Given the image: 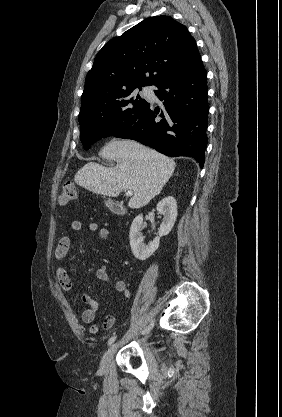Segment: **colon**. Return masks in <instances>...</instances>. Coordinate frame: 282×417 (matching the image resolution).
<instances>
[{"label": "colon", "instance_id": "colon-1", "mask_svg": "<svg viewBox=\"0 0 282 417\" xmlns=\"http://www.w3.org/2000/svg\"><path fill=\"white\" fill-rule=\"evenodd\" d=\"M77 195V185L73 182L62 184L58 192V202L61 204H69L73 202Z\"/></svg>", "mask_w": 282, "mask_h": 417}]
</instances>
